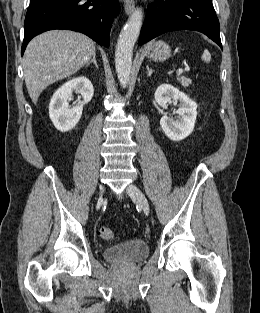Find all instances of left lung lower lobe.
Returning <instances> with one entry per match:
<instances>
[{
	"label": "left lung lower lobe",
	"instance_id": "left-lung-lower-lobe-1",
	"mask_svg": "<svg viewBox=\"0 0 260 313\" xmlns=\"http://www.w3.org/2000/svg\"><path fill=\"white\" fill-rule=\"evenodd\" d=\"M174 30L202 32L222 48L212 0H155L148 6L138 45Z\"/></svg>",
	"mask_w": 260,
	"mask_h": 313
}]
</instances>
